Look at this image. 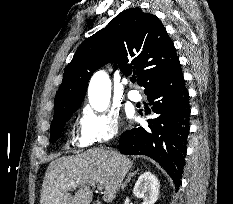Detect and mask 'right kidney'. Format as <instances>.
I'll return each mask as SVG.
<instances>
[{
	"mask_svg": "<svg viewBox=\"0 0 233 204\" xmlns=\"http://www.w3.org/2000/svg\"><path fill=\"white\" fill-rule=\"evenodd\" d=\"M160 183L150 171L141 174L135 183L133 193L143 200V204H154L159 195Z\"/></svg>",
	"mask_w": 233,
	"mask_h": 204,
	"instance_id": "1",
	"label": "right kidney"
}]
</instances>
